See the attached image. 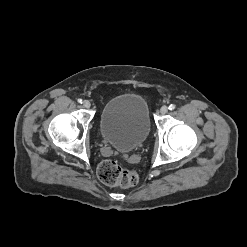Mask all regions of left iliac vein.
Instances as JSON below:
<instances>
[{
  "label": "left iliac vein",
  "instance_id": "1",
  "mask_svg": "<svg viewBox=\"0 0 247 247\" xmlns=\"http://www.w3.org/2000/svg\"><path fill=\"white\" fill-rule=\"evenodd\" d=\"M168 112V107L167 106H162L161 109H160V113L161 114H166Z\"/></svg>",
  "mask_w": 247,
  "mask_h": 247
}]
</instances>
